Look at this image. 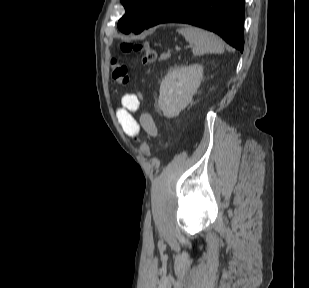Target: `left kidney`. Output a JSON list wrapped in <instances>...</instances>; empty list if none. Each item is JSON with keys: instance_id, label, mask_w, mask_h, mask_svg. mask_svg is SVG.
I'll list each match as a JSON object with an SVG mask.
<instances>
[{"instance_id": "obj_1", "label": "left kidney", "mask_w": 309, "mask_h": 288, "mask_svg": "<svg viewBox=\"0 0 309 288\" xmlns=\"http://www.w3.org/2000/svg\"><path fill=\"white\" fill-rule=\"evenodd\" d=\"M203 77L198 64L171 69L160 85L159 107L163 115L173 118L184 110L197 92Z\"/></svg>"}]
</instances>
